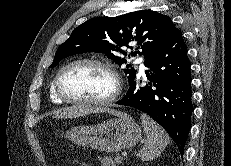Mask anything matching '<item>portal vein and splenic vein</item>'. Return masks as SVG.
I'll return each mask as SVG.
<instances>
[{"mask_svg":"<svg viewBox=\"0 0 231 166\" xmlns=\"http://www.w3.org/2000/svg\"><path fill=\"white\" fill-rule=\"evenodd\" d=\"M126 155V153H123L122 156H119L118 158H122Z\"/></svg>","mask_w":231,"mask_h":166,"instance_id":"obj_1","label":"portal vein and splenic vein"}]
</instances>
